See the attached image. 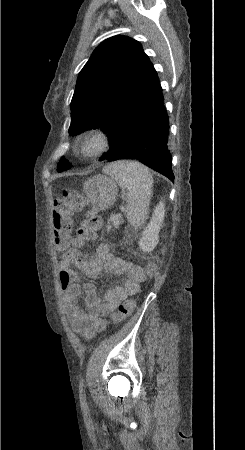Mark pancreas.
<instances>
[{
  "mask_svg": "<svg viewBox=\"0 0 245 450\" xmlns=\"http://www.w3.org/2000/svg\"><path fill=\"white\" fill-rule=\"evenodd\" d=\"M121 215H111L110 221L112 222L113 226L117 228L120 224Z\"/></svg>",
  "mask_w": 245,
  "mask_h": 450,
  "instance_id": "obj_1",
  "label": "pancreas"
}]
</instances>
